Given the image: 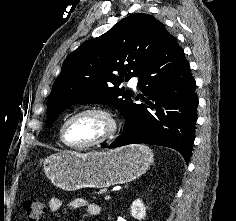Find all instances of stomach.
Listing matches in <instances>:
<instances>
[{
    "mask_svg": "<svg viewBox=\"0 0 236 221\" xmlns=\"http://www.w3.org/2000/svg\"><path fill=\"white\" fill-rule=\"evenodd\" d=\"M153 156L148 146L133 144L100 152H59L47 157L43 167L47 178L65 191L108 188L143 175L153 163Z\"/></svg>",
    "mask_w": 236,
    "mask_h": 221,
    "instance_id": "stomach-1",
    "label": "stomach"
}]
</instances>
